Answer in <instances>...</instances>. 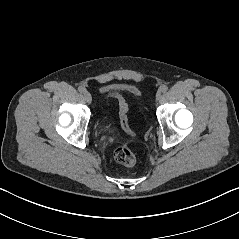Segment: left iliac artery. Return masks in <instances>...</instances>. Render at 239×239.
<instances>
[{
  "mask_svg": "<svg viewBox=\"0 0 239 239\" xmlns=\"http://www.w3.org/2000/svg\"><path fill=\"white\" fill-rule=\"evenodd\" d=\"M168 90V87L166 85H163L161 88H160V91L165 93L166 91Z\"/></svg>",
  "mask_w": 239,
  "mask_h": 239,
  "instance_id": "left-iliac-artery-1",
  "label": "left iliac artery"
}]
</instances>
